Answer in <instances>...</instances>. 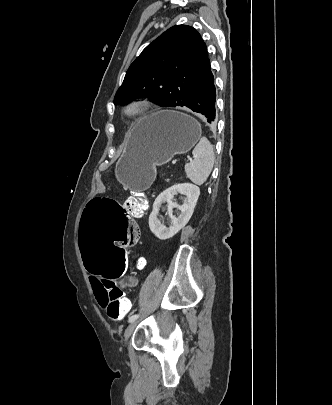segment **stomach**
Returning <instances> with one entry per match:
<instances>
[{"label":"stomach","mask_w":332,"mask_h":405,"mask_svg":"<svg viewBox=\"0 0 332 405\" xmlns=\"http://www.w3.org/2000/svg\"><path fill=\"white\" fill-rule=\"evenodd\" d=\"M201 126L192 116L174 110L156 112L133 126L115 176L126 189L144 191L156 176V166L190 151L201 139Z\"/></svg>","instance_id":"1"}]
</instances>
